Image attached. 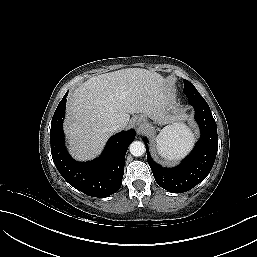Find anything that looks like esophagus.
<instances>
[{
  "label": "esophagus",
  "instance_id": "1",
  "mask_svg": "<svg viewBox=\"0 0 257 257\" xmlns=\"http://www.w3.org/2000/svg\"><path fill=\"white\" fill-rule=\"evenodd\" d=\"M139 121H140V120H138V121H137V124H136V126H139V125H140V124H139Z\"/></svg>",
  "mask_w": 257,
  "mask_h": 257
}]
</instances>
